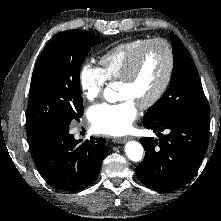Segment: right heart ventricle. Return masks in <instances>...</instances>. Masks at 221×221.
I'll return each mask as SVG.
<instances>
[{"label":"right heart ventricle","mask_w":221,"mask_h":221,"mask_svg":"<svg viewBox=\"0 0 221 221\" xmlns=\"http://www.w3.org/2000/svg\"><path fill=\"white\" fill-rule=\"evenodd\" d=\"M147 39H134L116 44L99 58L101 69L107 80H119L129 60Z\"/></svg>","instance_id":"obj_1"}]
</instances>
